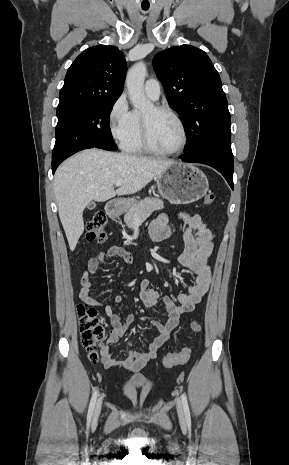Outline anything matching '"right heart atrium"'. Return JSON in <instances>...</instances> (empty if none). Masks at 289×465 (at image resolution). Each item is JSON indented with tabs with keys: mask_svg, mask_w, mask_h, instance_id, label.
Segmentation results:
<instances>
[{
	"mask_svg": "<svg viewBox=\"0 0 289 465\" xmlns=\"http://www.w3.org/2000/svg\"><path fill=\"white\" fill-rule=\"evenodd\" d=\"M108 127L112 138L122 146L135 128L134 112L129 108L124 94L112 104L108 113Z\"/></svg>",
	"mask_w": 289,
	"mask_h": 465,
	"instance_id": "right-heart-atrium-1",
	"label": "right heart atrium"
}]
</instances>
